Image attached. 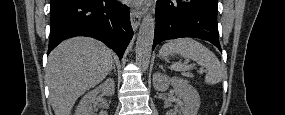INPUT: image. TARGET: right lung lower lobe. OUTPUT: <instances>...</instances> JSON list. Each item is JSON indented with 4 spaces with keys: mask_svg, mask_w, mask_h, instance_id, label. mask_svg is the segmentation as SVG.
I'll list each match as a JSON object with an SVG mask.
<instances>
[{
    "mask_svg": "<svg viewBox=\"0 0 285 115\" xmlns=\"http://www.w3.org/2000/svg\"><path fill=\"white\" fill-rule=\"evenodd\" d=\"M133 35L128 7L116 0L50 1L48 54L74 36L96 38L122 58Z\"/></svg>",
    "mask_w": 285,
    "mask_h": 115,
    "instance_id": "98d812e1",
    "label": "right lung lower lobe"
}]
</instances>
